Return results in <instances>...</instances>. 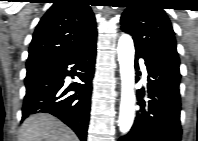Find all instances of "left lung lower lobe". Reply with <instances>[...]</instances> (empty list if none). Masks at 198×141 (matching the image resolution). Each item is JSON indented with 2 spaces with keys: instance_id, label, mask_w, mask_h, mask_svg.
<instances>
[{
  "instance_id": "obj_1",
  "label": "left lung lower lobe",
  "mask_w": 198,
  "mask_h": 141,
  "mask_svg": "<svg viewBox=\"0 0 198 141\" xmlns=\"http://www.w3.org/2000/svg\"><path fill=\"white\" fill-rule=\"evenodd\" d=\"M139 58L145 60L148 72V99L142 98L144 90H138L139 113L129 133L119 141H180L179 66L163 59H148L136 52V69Z\"/></svg>"
}]
</instances>
